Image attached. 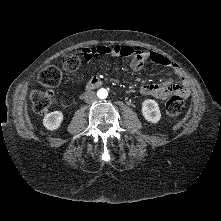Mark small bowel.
<instances>
[{"label":"small bowel","mask_w":221,"mask_h":221,"mask_svg":"<svg viewBox=\"0 0 221 221\" xmlns=\"http://www.w3.org/2000/svg\"><path fill=\"white\" fill-rule=\"evenodd\" d=\"M82 55L86 61H90L95 55L126 57L130 59V67L134 71L142 70L147 62L168 67L172 71L168 78L157 84L142 85L140 93L162 100L173 96H180L181 98L190 96L189 83L181 69L175 62L160 53L140 51L129 45H100L83 47ZM174 80L178 83L173 84Z\"/></svg>","instance_id":"1"}]
</instances>
